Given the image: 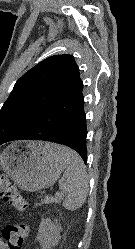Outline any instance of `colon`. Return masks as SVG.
Masks as SVG:
<instances>
[{
	"mask_svg": "<svg viewBox=\"0 0 135 249\" xmlns=\"http://www.w3.org/2000/svg\"><path fill=\"white\" fill-rule=\"evenodd\" d=\"M0 198L17 211L22 212L27 208V202L15 185L3 175H0ZM30 233L31 226L28 224L6 225L2 230V238L8 249H23V242L26 241Z\"/></svg>",
	"mask_w": 135,
	"mask_h": 249,
	"instance_id": "colon-1",
	"label": "colon"
}]
</instances>
